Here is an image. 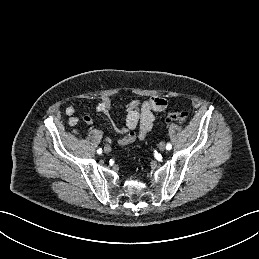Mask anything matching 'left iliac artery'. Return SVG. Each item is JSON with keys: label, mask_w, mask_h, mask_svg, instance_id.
I'll return each mask as SVG.
<instances>
[{"label": "left iliac artery", "mask_w": 259, "mask_h": 259, "mask_svg": "<svg viewBox=\"0 0 259 259\" xmlns=\"http://www.w3.org/2000/svg\"><path fill=\"white\" fill-rule=\"evenodd\" d=\"M172 148V145L170 144V143H168L167 145H166V149L167 150H170Z\"/></svg>", "instance_id": "left-iliac-artery-1"}]
</instances>
